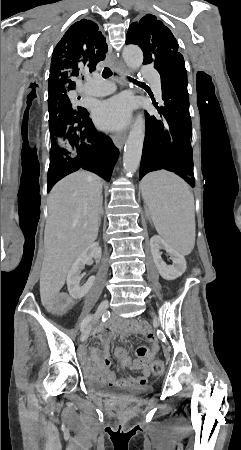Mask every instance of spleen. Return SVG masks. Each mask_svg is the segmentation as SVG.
Here are the masks:
<instances>
[{
  "label": "spleen",
  "instance_id": "spleen-1",
  "mask_svg": "<svg viewBox=\"0 0 241 450\" xmlns=\"http://www.w3.org/2000/svg\"><path fill=\"white\" fill-rule=\"evenodd\" d=\"M154 226L181 256L195 246L194 196L186 182L166 170L150 172L140 184Z\"/></svg>",
  "mask_w": 241,
  "mask_h": 450
}]
</instances>
